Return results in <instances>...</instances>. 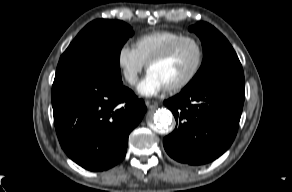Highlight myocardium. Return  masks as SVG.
Listing matches in <instances>:
<instances>
[{
  "mask_svg": "<svg viewBox=\"0 0 292 192\" xmlns=\"http://www.w3.org/2000/svg\"><path fill=\"white\" fill-rule=\"evenodd\" d=\"M187 42L192 43L197 49V52H198L197 63L195 65L194 69L192 70V72L185 79H183L182 81H180L174 85L167 87L168 91L178 92V91L185 89L200 74V72L203 68L204 62H205V51H204V47H203L201 41L194 36L184 35V36L176 39L175 41H173L162 52L155 55L147 62V70H149L151 68V66H153L154 64H157V63H160V62H163V61L169 59L177 51V49L181 45H183L184 43H187Z\"/></svg>",
  "mask_w": 292,
  "mask_h": 192,
  "instance_id": "f54148a6",
  "label": "myocardium"
}]
</instances>
